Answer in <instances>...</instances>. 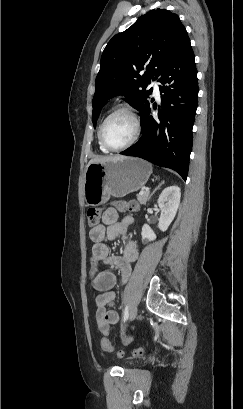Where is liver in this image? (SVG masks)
<instances>
[{
    "label": "liver",
    "instance_id": "6515ba94",
    "mask_svg": "<svg viewBox=\"0 0 243 409\" xmlns=\"http://www.w3.org/2000/svg\"><path fill=\"white\" fill-rule=\"evenodd\" d=\"M115 158H117V157H101V158H95V159L90 160L89 163L105 162V161H109V160H112V159H115Z\"/></svg>",
    "mask_w": 243,
    "mask_h": 409
}]
</instances>
